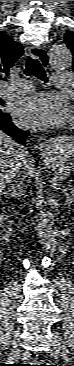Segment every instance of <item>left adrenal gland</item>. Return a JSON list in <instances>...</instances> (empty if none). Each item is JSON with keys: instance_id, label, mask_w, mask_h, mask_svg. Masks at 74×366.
<instances>
[{"instance_id": "a2214340", "label": "left adrenal gland", "mask_w": 74, "mask_h": 366, "mask_svg": "<svg viewBox=\"0 0 74 366\" xmlns=\"http://www.w3.org/2000/svg\"><path fill=\"white\" fill-rule=\"evenodd\" d=\"M64 192H65V195H66V202H68L70 200V196L67 193V190L66 189L64 190Z\"/></svg>"}]
</instances>
